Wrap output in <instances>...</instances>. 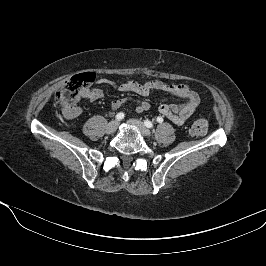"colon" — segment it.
Wrapping results in <instances>:
<instances>
[{
  "label": "colon",
  "instance_id": "obj_1",
  "mask_svg": "<svg viewBox=\"0 0 266 266\" xmlns=\"http://www.w3.org/2000/svg\"><path fill=\"white\" fill-rule=\"evenodd\" d=\"M95 80L93 73H84L73 76L56 93L57 101L62 105L63 110L70 112L81 100L86 87ZM208 130L207 120L199 116L190 127V134L193 137H200L206 134Z\"/></svg>",
  "mask_w": 266,
  "mask_h": 266
}]
</instances>
